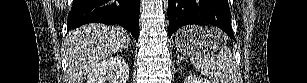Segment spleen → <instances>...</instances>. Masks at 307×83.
Returning a JSON list of instances; mask_svg holds the SVG:
<instances>
[{"mask_svg":"<svg viewBox=\"0 0 307 83\" xmlns=\"http://www.w3.org/2000/svg\"><path fill=\"white\" fill-rule=\"evenodd\" d=\"M207 36L216 40H227V36L215 28H204ZM196 70L212 79L214 83H238L237 66L229 48L223 47L216 56H210L202 48L191 54Z\"/></svg>","mask_w":307,"mask_h":83,"instance_id":"3e777b00","label":"spleen"}]
</instances>
